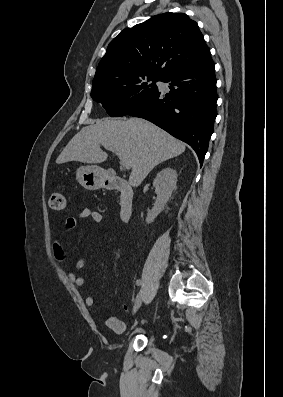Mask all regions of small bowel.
Wrapping results in <instances>:
<instances>
[{
	"instance_id": "obj_1",
	"label": "small bowel",
	"mask_w": 283,
	"mask_h": 397,
	"mask_svg": "<svg viewBox=\"0 0 283 397\" xmlns=\"http://www.w3.org/2000/svg\"><path fill=\"white\" fill-rule=\"evenodd\" d=\"M82 219H90L94 223L99 224L102 222V215L100 212L96 210H92L90 208H82L78 210L75 213V215L65 218L62 223V228L66 232H70L73 229H75V227L78 224V221ZM52 252H53V257L56 261L62 262L65 259V251L60 239L54 240L52 244ZM85 266H86V261L84 259H80L75 263L76 270H81ZM67 278L72 284L76 286H83L86 283V278L84 276L77 275L74 272H68ZM85 304L88 307H93L95 305V298L93 296H87L85 298ZM124 309L127 311L128 307L125 305ZM94 314L99 316L100 315L99 310H94ZM105 324L116 334H122L126 328L124 322L119 320L115 316L108 317L105 320Z\"/></svg>"
}]
</instances>
